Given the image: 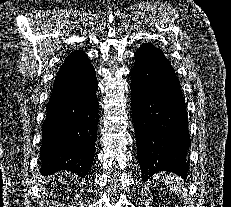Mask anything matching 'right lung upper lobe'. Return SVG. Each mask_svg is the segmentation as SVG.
<instances>
[{
    "instance_id": "1",
    "label": "right lung upper lobe",
    "mask_w": 231,
    "mask_h": 207,
    "mask_svg": "<svg viewBox=\"0 0 231 207\" xmlns=\"http://www.w3.org/2000/svg\"><path fill=\"white\" fill-rule=\"evenodd\" d=\"M88 60V57L82 51H74L68 55L63 63V66L73 67L75 64Z\"/></svg>"
}]
</instances>
